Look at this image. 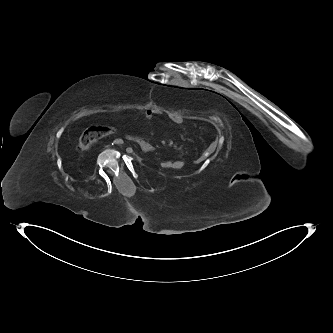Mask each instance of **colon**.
I'll return each instance as SVG.
<instances>
[{
  "label": "colon",
  "mask_w": 333,
  "mask_h": 333,
  "mask_svg": "<svg viewBox=\"0 0 333 333\" xmlns=\"http://www.w3.org/2000/svg\"><path fill=\"white\" fill-rule=\"evenodd\" d=\"M115 131L110 126H92L85 130L79 139V148L82 150L89 149L99 139L112 134ZM161 166L164 169H171L174 166L173 161L164 160L161 162Z\"/></svg>",
  "instance_id": "obj_1"
}]
</instances>
